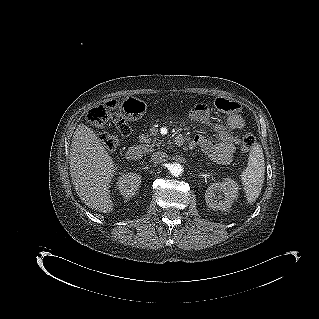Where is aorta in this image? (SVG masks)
<instances>
[{
	"instance_id": "obj_1",
	"label": "aorta",
	"mask_w": 319,
	"mask_h": 319,
	"mask_svg": "<svg viewBox=\"0 0 319 319\" xmlns=\"http://www.w3.org/2000/svg\"><path fill=\"white\" fill-rule=\"evenodd\" d=\"M169 171L171 173L172 176H175V177H178L180 175H182L183 173V167L181 164L179 163H172L170 166H169Z\"/></svg>"
}]
</instances>
